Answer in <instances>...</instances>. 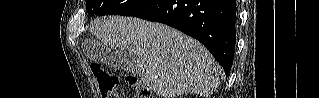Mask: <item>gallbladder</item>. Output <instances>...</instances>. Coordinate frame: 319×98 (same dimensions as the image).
I'll list each match as a JSON object with an SVG mask.
<instances>
[{"instance_id": "bac80fb5", "label": "gallbladder", "mask_w": 319, "mask_h": 98, "mask_svg": "<svg viewBox=\"0 0 319 98\" xmlns=\"http://www.w3.org/2000/svg\"><path fill=\"white\" fill-rule=\"evenodd\" d=\"M86 55L93 60L117 67L127 73H139L140 61L126 50H112L103 44H95V48L86 50Z\"/></svg>"}]
</instances>
